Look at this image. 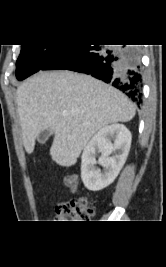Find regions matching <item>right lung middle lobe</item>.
Masks as SVG:
<instances>
[{
    "label": "right lung middle lobe",
    "instance_id": "obj_1",
    "mask_svg": "<svg viewBox=\"0 0 166 267\" xmlns=\"http://www.w3.org/2000/svg\"><path fill=\"white\" fill-rule=\"evenodd\" d=\"M62 47L59 44L21 45L16 77L23 80L39 71Z\"/></svg>",
    "mask_w": 166,
    "mask_h": 267
}]
</instances>
